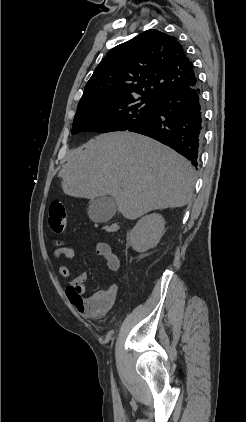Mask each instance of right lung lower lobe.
<instances>
[{"instance_id": "right-lung-lower-lobe-1", "label": "right lung lower lobe", "mask_w": 246, "mask_h": 422, "mask_svg": "<svg viewBox=\"0 0 246 422\" xmlns=\"http://www.w3.org/2000/svg\"><path fill=\"white\" fill-rule=\"evenodd\" d=\"M125 131L149 136L171 147L197 168L204 135L198 83L166 93L154 101V113Z\"/></svg>"}]
</instances>
